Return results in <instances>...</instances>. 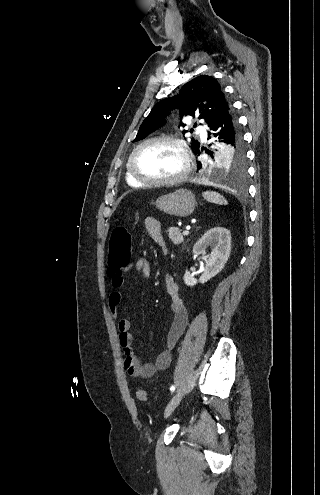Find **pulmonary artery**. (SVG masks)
Returning <instances> with one entry per match:
<instances>
[{"instance_id": "1", "label": "pulmonary artery", "mask_w": 320, "mask_h": 495, "mask_svg": "<svg viewBox=\"0 0 320 495\" xmlns=\"http://www.w3.org/2000/svg\"><path fill=\"white\" fill-rule=\"evenodd\" d=\"M202 139L203 140H206V135H202Z\"/></svg>"}]
</instances>
